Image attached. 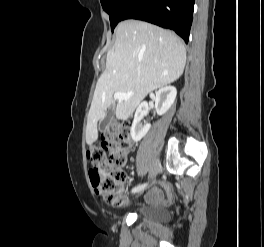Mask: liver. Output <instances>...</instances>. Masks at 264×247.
I'll return each mask as SVG.
<instances>
[{
  "mask_svg": "<svg viewBox=\"0 0 264 247\" xmlns=\"http://www.w3.org/2000/svg\"><path fill=\"white\" fill-rule=\"evenodd\" d=\"M115 33V44L107 53L106 68L97 82L88 115V145L97 140V123L107 108L112 107L116 117L127 119L148 93L176 81L186 64L185 46L170 31L126 20L117 25ZM116 92L133 95L115 104Z\"/></svg>",
  "mask_w": 264,
  "mask_h": 247,
  "instance_id": "1",
  "label": "liver"
}]
</instances>
